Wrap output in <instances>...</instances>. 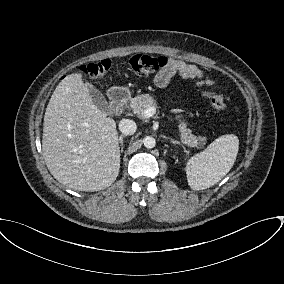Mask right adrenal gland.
<instances>
[{
	"label": "right adrenal gland",
	"mask_w": 284,
	"mask_h": 284,
	"mask_svg": "<svg viewBox=\"0 0 284 284\" xmlns=\"http://www.w3.org/2000/svg\"><path fill=\"white\" fill-rule=\"evenodd\" d=\"M126 135H123L121 134L118 138V143L120 144V152L122 153L123 152V148H124V145H123V138L125 137Z\"/></svg>",
	"instance_id": "1"
}]
</instances>
